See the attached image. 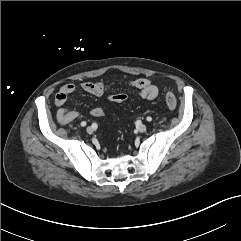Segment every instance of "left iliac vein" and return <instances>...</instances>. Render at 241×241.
Returning a JSON list of instances; mask_svg holds the SVG:
<instances>
[{
    "mask_svg": "<svg viewBox=\"0 0 241 241\" xmlns=\"http://www.w3.org/2000/svg\"><path fill=\"white\" fill-rule=\"evenodd\" d=\"M138 130H139L140 132H145V131L147 130V126L144 125V124H140V125L138 126Z\"/></svg>",
    "mask_w": 241,
    "mask_h": 241,
    "instance_id": "obj_1",
    "label": "left iliac vein"
}]
</instances>
